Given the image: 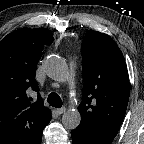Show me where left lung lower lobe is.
<instances>
[{
  "mask_svg": "<svg viewBox=\"0 0 144 144\" xmlns=\"http://www.w3.org/2000/svg\"><path fill=\"white\" fill-rule=\"evenodd\" d=\"M73 144H111L110 140H102L92 138L87 135L82 129L76 128L71 133Z\"/></svg>",
  "mask_w": 144,
  "mask_h": 144,
  "instance_id": "left-lung-lower-lobe-1",
  "label": "left lung lower lobe"
}]
</instances>
